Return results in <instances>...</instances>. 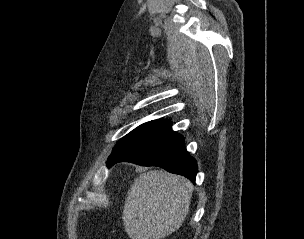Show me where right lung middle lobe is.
<instances>
[{
  "instance_id": "1",
  "label": "right lung middle lobe",
  "mask_w": 304,
  "mask_h": 239,
  "mask_svg": "<svg viewBox=\"0 0 304 239\" xmlns=\"http://www.w3.org/2000/svg\"><path fill=\"white\" fill-rule=\"evenodd\" d=\"M168 123L167 120H153L147 123H144L137 128H135L133 131L128 133L126 136H124L113 148V152L125 147L126 145L130 144L131 142L146 136L147 134L151 133L152 131L159 129L166 125Z\"/></svg>"
}]
</instances>
